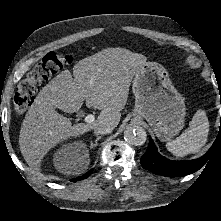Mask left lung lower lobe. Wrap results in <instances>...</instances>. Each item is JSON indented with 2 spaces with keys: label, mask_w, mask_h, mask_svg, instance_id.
<instances>
[{
  "label": "left lung lower lobe",
  "mask_w": 221,
  "mask_h": 221,
  "mask_svg": "<svg viewBox=\"0 0 221 221\" xmlns=\"http://www.w3.org/2000/svg\"><path fill=\"white\" fill-rule=\"evenodd\" d=\"M218 143H221V126L217 140L205 155L195 160L172 161L159 154L150 138L149 146L141 157V165L143 168L162 176L180 177L188 175L199 170L207 162Z\"/></svg>",
  "instance_id": "obj_1"
}]
</instances>
